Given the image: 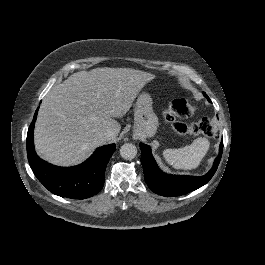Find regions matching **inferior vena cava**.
<instances>
[{
	"label": "inferior vena cava",
	"mask_w": 265,
	"mask_h": 265,
	"mask_svg": "<svg viewBox=\"0 0 265 265\" xmlns=\"http://www.w3.org/2000/svg\"><path fill=\"white\" fill-rule=\"evenodd\" d=\"M104 137L106 140H112L115 138V132L112 128H107L104 132Z\"/></svg>",
	"instance_id": "inferior-vena-cava-1"
}]
</instances>
